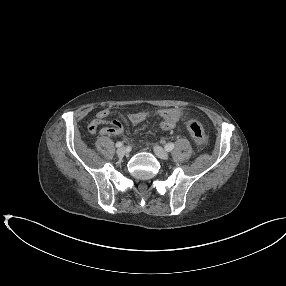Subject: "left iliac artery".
Listing matches in <instances>:
<instances>
[{"label":"left iliac artery","mask_w":286,"mask_h":286,"mask_svg":"<svg viewBox=\"0 0 286 286\" xmlns=\"http://www.w3.org/2000/svg\"><path fill=\"white\" fill-rule=\"evenodd\" d=\"M165 149L169 152V151H172L174 149V144L173 143H168L166 146H165Z\"/></svg>","instance_id":"obj_1"}]
</instances>
